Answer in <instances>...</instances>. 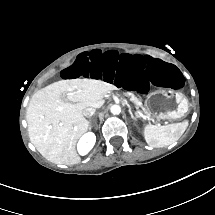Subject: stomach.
Segmentation results:
<instances>
[{
  "label": "stomach",
  "instance_id": "1",
  "mask_svg": "<svg viewBox=\"0 0 215 215\" xmlns=\"http://www.w3.org/2000/svg\"><path fill=\"white\" fill-rule=\"evenodd\" d=\"M145 108L154 118L177 120L187 114L188 100L178 91L159 89L147 96Z\"/></svg>",
  "mask_w": 215,
  "mask_h": 215
}]
</instances>
